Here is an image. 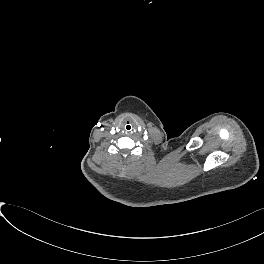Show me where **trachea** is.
I'll use <instances>...</instances> for the list:
<instances>
[{
    "label": "trachea",
    "mask_w": 264,
    "mask_h": 264,
    "mask_svg": "<svg viewBox=\"0 0 264 264\" xmlns=\"http://www.w3.org/2000/svg\"><path fill=\"white\" fill-rule=\"evenodd\" d=\"M133 130V124L131 122H125L123 124V131L129 133Z\"/></svg>",
    "instance_id": "3493384b"
}]
</instances>
